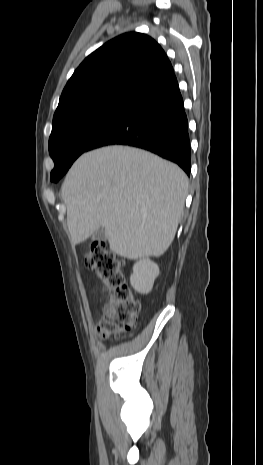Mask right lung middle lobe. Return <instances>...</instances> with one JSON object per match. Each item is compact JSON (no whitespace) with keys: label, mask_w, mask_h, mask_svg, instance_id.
<instances>
[{"label":"right lung middle lobe","mask_w":263,"mask_h":465,"mask_svg":"<svg viewBox=\"0 0 263 465\" xmlns=\"http://www.w3.org/2000/svg\"><path fill=\"white\" fill-rule=\"evenodd\" d=\"M135 97L107 96L74 106L53 118L49 152L57 182L72 163L131 106Z\"/></svg>","instance_id":"obj_1"}]
</instances>
